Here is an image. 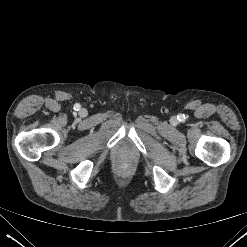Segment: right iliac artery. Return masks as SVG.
Instances as JSON below:
<instances>
[{"label":"right iliac artery","mask_w":247,"mask_h":247,"mask_svg":"<svg viewBox=\"0 0 247 247\" xmlns=\"http://www.w3.org/2000/svg\"><path fill=\"white\" fill-rule=\"evenodd\" d=\"M79 108H80L79 105H76V106H75V109H76V110H79Z\"/></svg>","instance_id":"82829eb1"}]
</instances>
